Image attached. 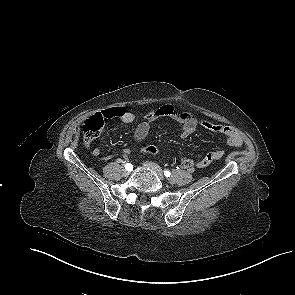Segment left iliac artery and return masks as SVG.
Listing matches in <instances>:
<instances>
[{"label": "left iliac artery", "mask_w": 295, "mask_h": 295, "mask_svg": "<svg viewBox=\"0 0 295 295\" xmlns=\"http://www.w3.org/2000/svg\"><path fill=\"white\" fill-rule=\"evenodd\" d=\"M164 175H165V177H170L171 172L169 170H165Z\"/></svg>", "instance_id": "44dca946"}]
</instances>
